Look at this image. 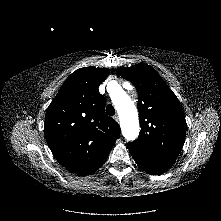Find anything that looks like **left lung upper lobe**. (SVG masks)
Returning <instances> with one entry per match:
<instances>
[{"label": "left lung upper lobe", "mask_w": 221, "mask_h": 221, "mask_svg": "<svg viewBox=\"0 0 221 221\" xmlns=\"http://www.w3.org/2000/svg\"><path fill=\"white\" fill-rule=\"evenodd\" d=\"M138 92L141 132L134 143L146 151L176 159L186 136V120L180 102L161 76L150 65L139 63L117 68Z\"/></svg>", "instance_id": "obj_1"}]
</instances>
